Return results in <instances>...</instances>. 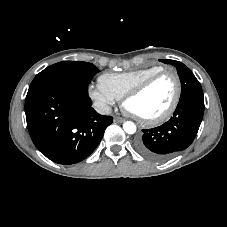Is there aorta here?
<instances>
[{
    "label": "aorta",
    "instance_id": "aorta-1",
    "mask_svg": "<svg viewBox=\"0 0 227 227\" xmlns=\"http://www.w3.org/2000/svg\"><path fill=\"white\" fill-rule=\"evenodd\" d=\"M123 130L127 134H134L136 132V125L133 122H131V121H126L123 124Z\"/></svg>",
    "mask_w": 227,
    "mask_h": 227
}]
</instances>
